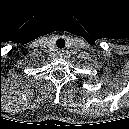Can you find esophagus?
<instances>
[{
    "mask_svg": "<svg viewBox=\"0 0 129 129\" xmlns=\"http://www.w3.org/2000/svg\"><path fill=\"white\" fill-rule=\"evenodd\" d=\"M58 54H59L60 57H63V55L65 54V51H64V50H60V51L58 52Z\"/></svg>",
    "mask_w": 129,
    "mask_h": 129,
    "instance_id": "34e87169",
    "label": "esophagus"
}]
</instances>
